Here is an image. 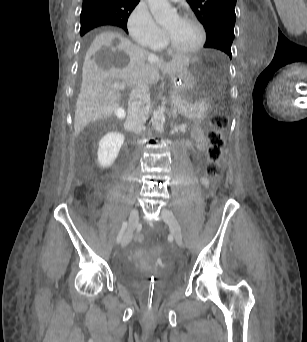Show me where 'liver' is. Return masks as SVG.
Segmentation results:
<instances>
[{
  "mask_svg": "<svg viewBox=\"0 0 307 342\" xmlns=\"http://www.w3.org/2000/svg\"><path fill=\"white\" fill-rule=\"evenodd\" d=\"M193 60L189 56H172L170 62H163L118 32H102L86 52L75 110V136L90 122L113 116L115 108L119 107V92L105 86L109 78L124 80L127 86H147L159 82V72L174 76L183 68H189Z\"/></svg>",
  "mask_w": 307,
  "mask_h": 342,
  "instance_id": "obj_1",
  "label": "liver"
}]
</instances>
